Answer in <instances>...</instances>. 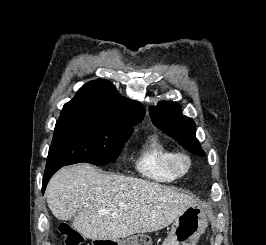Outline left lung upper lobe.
I'll return each instance as SVG.
<instances>
[{"instance_id": "1", "label": "left lung upper lobe", "mask_w": 266, "mask_h": 245, "mask_svg": "<svg viewBox=\"0 0 266 245\" xmlns=\"http://www.w3.org/2000/svg\"><path fill=\"white\" fill-rule=\"evenodd\" d=\"M149 113L155 126L177 140L186 150L200 156L205 155L195 137L194 121L181 115L178 105L161 101L157 106L150 107Z\"/></svg>"}]
</instances>
